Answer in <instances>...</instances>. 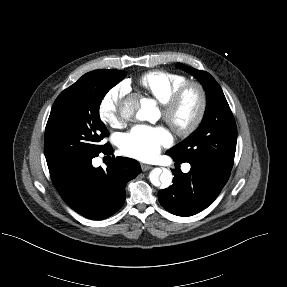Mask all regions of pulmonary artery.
<instances>
[{
    "label": "pulmonary artery",
    "instance_id": "pulmonary-artery-1",
    "mask_svg": "<svg viewBox=\"0 0 287 287\" xmlns=\"http://www.w3.org/2000/svg\"><path fill=\"white\" fill-rule=\"evenodd\" d=\"M189 169V166L187 165L186 167H185V170H188Z\"/></svg>",
    "mask_w": 287,
    "mask_h": 287
}]
</instances>
